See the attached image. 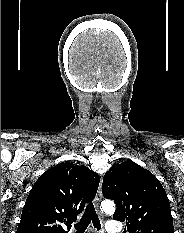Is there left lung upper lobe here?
<instances>
[{"label":"left lung upper lobe","mask_w":184,"mask_h":233,"mask_svg":"<svg viewBox=\"0 0 184 233\" xmlns=\"http://www.w3.org/2000/svg\"><path fill=\"white\" fill-rule=\"evenodd\" d=\"M103 196L114 200L113 218L128 233H174L167 194L160 181L133 161L113 164L103 178Z\"/></svg>","instance_id":"5c2ea615"}]
</instances>
